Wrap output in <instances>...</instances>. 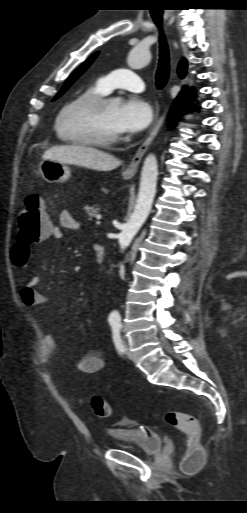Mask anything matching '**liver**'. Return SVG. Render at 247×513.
<instances>
[{
  "mask_svg": "<svg viewBox=\"0 0 247 513\" xmlns=\"http://www.w3.org/2000/svg\"><path fill=\"white\" fill-rule=\"evenodd\" d=\"M42 158L75 164L96 171H110L120 165V161L112 155L83 145L54 146L47 149Z\"/></svg>",
  "mask_w": 247,
  "mask_h": 513,
  "instance_id": "obj_1",
  "label": "liver"
}]
</instances>
